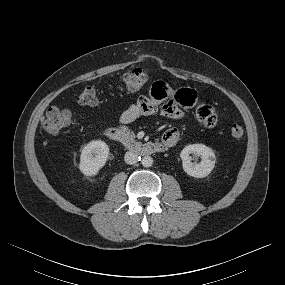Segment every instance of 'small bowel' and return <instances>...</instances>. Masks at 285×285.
I'll return each mask as SVG.
<instances>
[{
	"instance_id": "1",
	"label": "small bowel",
	"mask_w": 285,
	"mask_h": 285,
	"mask_svg": "<svg viewBox=\"0 0 285 285\" xmlns=\"http://www.w3.org/2000/svg\"><path fill=\"white\" fill-rule=\"evenodd\" d=\"M148 94L141 95L129 105L118 118L120 125H127L141 116L152 115L157 110L173 119H182L185 115L182 107H195L199 122L205 128H214L218 118L212 105L200 102L195 89L190 87L181 88L178 91L161 81H154L148 87ZM179 138L176 128L167 130L162 136V143L166 147L175 145Z\"/></svg>"
}]
</instances>
